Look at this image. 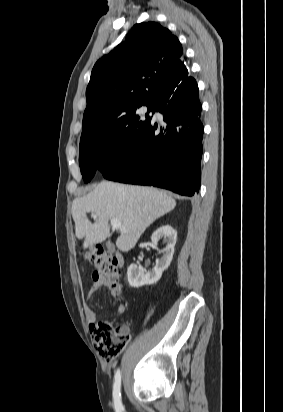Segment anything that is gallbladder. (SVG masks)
I'll return each mask as SVG.
<instances>
[{
	"mask_svg": "<svg viewBox=\"0 0 283 412\" xmlns=\"http://www.w3.org/2000/svg\"><path fill=\"white\" fill-rule=\"evenodd\" d=\"M108 249H109L110 251H114L113 245H109Z\"/></svg>",
	"mask_w": 283,
	"mask_h": 412,
	"instance_id": "obj_1",
	"label": "gallbladder"
}]
</instances>
